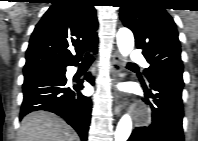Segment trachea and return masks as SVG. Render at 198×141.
<instances>
[{
	"mask_svg": "<svg viewBox=\"0 0 198 141\" xmlns=\"http://www.w3.org/2000/svg\"><path fill=\"white\" fill-rule=\"evenodd\" d=\"M93 60H94V57L90 53H86L83 62L84 63H92Z\"/></svg>",
	"mask_w": 198,
	"mask_h": 141,
	"instance_id": "1",
	"label": "trachea"
}]
</instances>
